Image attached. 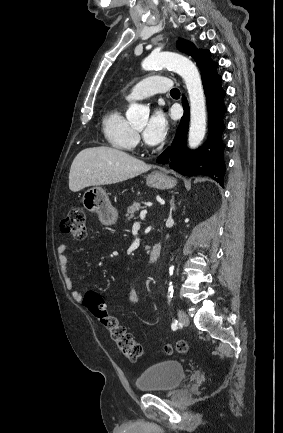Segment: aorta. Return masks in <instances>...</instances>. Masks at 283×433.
Wrapping results in <instances>:
<instances>
[{"label": "aorta", "instance_id": "1", "mask_svg": "<svg viewBox=\"0 0 283 433\" xmlns=\"http://www.w3.org/2000/svg\"><path fill=\"white\" fill-rule=\"evenodd\" d=\"M144 70L170 68L179 74L185 84L190 101V126L188 144L191 149L197 148L205 137L207 114L204 89L197 67L188 58L172 52L151 53L142 62ZM149 109L133 103L129 106L126 117L130 122L147 120ZM174 267H170V275Z\"/></svg>", "mask_w": 283, "mask_h": 433}]
</instances>
